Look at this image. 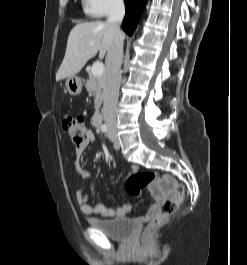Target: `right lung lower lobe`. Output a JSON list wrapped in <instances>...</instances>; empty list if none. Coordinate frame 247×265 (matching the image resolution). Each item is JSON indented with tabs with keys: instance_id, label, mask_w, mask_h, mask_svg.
<instances>
[{
	"instance_id": "obj_1",
	"label": "right lung lower lobe",
	"mask_w": 247,
	"mask_h": 265,
	"mask_svg": "<svg viewBox=\"0 0 247 265\" xmlns=\"http://www.w3.org/2000/svg\"><path fill=\"white\" fill-rule=\"evenodd\" d=\"M146 3L147 0H125L126 14L122 28L128 35L133 34Z\"/></svg>"
}]
</instances>
